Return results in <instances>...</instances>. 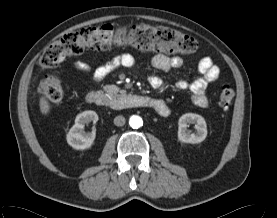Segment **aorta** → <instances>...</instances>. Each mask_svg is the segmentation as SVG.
<instances>
[{
	"instance_id": "obj_1",
	"label": "aorta",
	"mask_w": 277,
	"mask_h": 218,
	"mask_svg": "<svg viewBox=\"0 0 277 218\" xmlns=\"http://www.w3.org/2000/svg\"><path fill=\"white\" fill-rule=\"evenodd\" d=\"M129 125L133 128V129H137L140 128L143 125V120L140 116L138 115H133L130 117L129 119Z\"/></svg>"
}]
</instances>
